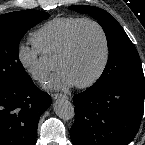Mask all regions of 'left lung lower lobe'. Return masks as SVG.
<instances>
[{
	"instance_id": "0a47b994",
	"label": "left lung lower lobe",
	"mask_w": 145,
	"mask_h": 145,
	"mask_svg": "<svg viewBox=\"0 0 145 145\" xmlns=\"http://www.w3.org/2000/svg\"><path fill=\"white\" fill-rule=\"evenodd\" d=\"M144 96V78L91 86L74 95L73 145H128L141 123Z\"/></svg>"
}]
</instances>
